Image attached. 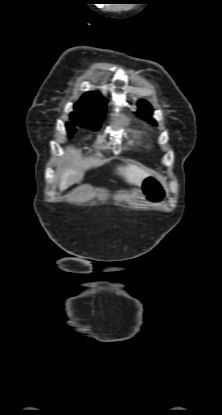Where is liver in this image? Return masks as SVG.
Returning <instances> with one entry per match:
<instances>
[{
	"label": "liver",
	"mask_w": 222,
	"mask_h": 415,
	"mask_svg": "<svg viewBox=\"0 0 222 415\" xmlns=\"http://www.w3.org/2000/svg\"><path fill=\"white\" fill-rule=\"evenodd\" d=\"M118 174L123 176L128 183L140 186L142 181L151 174L146 170L137 167L135 165L120 166L117 168ZM83 173L75 171L73 169H67L63 172L59 189L60 191L66 190L71 185L78 183L82 180Z\"/></svg>",
	"instance_id": "obj_1"
}]
</instances>
